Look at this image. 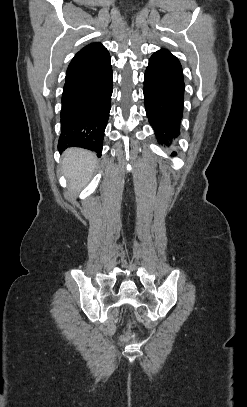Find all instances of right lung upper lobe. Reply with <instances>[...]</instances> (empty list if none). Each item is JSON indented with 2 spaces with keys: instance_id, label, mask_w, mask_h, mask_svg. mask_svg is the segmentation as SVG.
Returning <instances> with one entry per match:
<instances>
[{
  "instance_id": "obj_1",
  "label": "right lung upper lobe",
  "mask_w": 247,
  "mask_h": 407,
  "mask_svg": "<svg viewBox=\"0 0 247 407\" xmlns=\"http://www.w3.org/2000/svg\"><path fill=\"white\" fill-rule=\"evenodd\" d=\"M107 56H109V52L101 43L95 42L86 45L72 59L67 69L66 78L81 73Z\"/></svg>"
}]
</instances>
